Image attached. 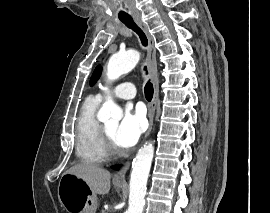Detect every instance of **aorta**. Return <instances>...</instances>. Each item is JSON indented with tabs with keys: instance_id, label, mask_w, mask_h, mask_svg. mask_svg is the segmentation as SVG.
<instances>
[{
	"instance_id": "762f6f07",
	"label": "aorta",
	"mask_w": 270,
	"mask_h": 213,
	"mask_svg": "<svg viewBox=\"0 0 270 213\" xmlns=\"http://www.w3.org/2000/svg\"><path fill=\"white\" fill-rule=\"evenodd\" d=\"M140 53L136 50L113 54L107 65V78L114 81L120 76L130 72L138 63ZM122 118V110L108 98L99 110L98 119L119 121ZM154 156V146L151 142L141 147L132 162L130 176L129 207L127 213H142L145 204L147 180Z\"/></svg>"
}]
</instances>
